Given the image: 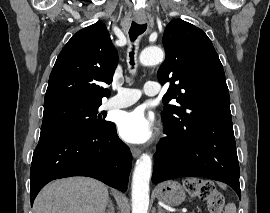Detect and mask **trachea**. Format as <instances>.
Listing matches in <instances>:
<instances>
[{
  "label": "trachea",
  "instance_id": "trachea-1",
  "mask_svg": "<svg viewBox=\"0 0 270 213\" xmlns=\"http://www.w3.org/2000/svg\"><path fill=\"white\" fill-rule=\"evenodd\" d=\"M146 29H147V25L146 24H137L135 22H132L131 27H130V30H129V36H130L131 41H135V39L139 35H141L142 33H144ZM133 55H134V52H131L130 53V58H131L130 64L132 66H134Z\"/></svg>",
  "mask_w": 270,
  "mask_h": 213
}]
</instances>
